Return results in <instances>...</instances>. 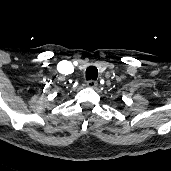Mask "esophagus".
Wrapping results in <instances>:
<instances>
[{
    "label": "esophagus",
    "mask_w": 171,
    "mask_h": 171,
    "mask_svg": "<svg viewBox=\"0 0 171 171\" xmlns=\"http://www.w3.org/2000/svg\"><path fill=\"white\" fill-rule=\"evenodd\" d=\"M97 85H98V83H97V81H95V80H88V81H87V86H88L89 88H95Z\"/></svg>",
    "instance_id": "obj_1"
}]
</instances>
